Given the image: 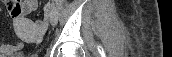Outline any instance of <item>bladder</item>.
I'll list each match as a JSON object with an SVG mask.
<instances>
[{
    "mask_svg": "<svg viewBox=\"0 0 172 57\" xmlns=\"http://www.w3.org/2000/svg\"><path fill=\"white\" fill-rule=\"evenodd\" d=\"M11 57H22L21 55H13Z\"/></svg>",
    "mask_w": 172,
    "mask_h": 57,
    "instance_id": "1",
    "label": "bladder"
}]
</instances>
